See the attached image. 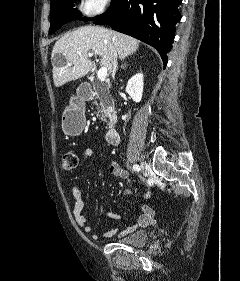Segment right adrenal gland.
Returning <instances> with one entry per match:
<instances>
[{
  "mask_svg": "<svg viewBox=\"0 0 240 281\" xmlns=\"http://www.w3.org/2000/svg\"><path fill=\"white\" fill-rule=\"evenodd\" d=\"M126 67V62H124L122 65H121V68H125Z\"/></svg>",
  "mask_w": 240,
  "mask_h": 281,
  "instance_id": "2a0ac1e0",
  "label": "right adrenal gland"
}]
</instances>
